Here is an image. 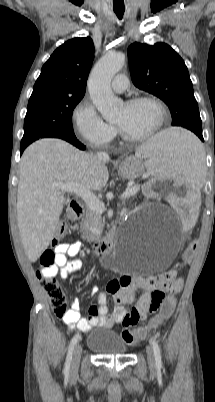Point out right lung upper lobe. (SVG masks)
<instances>
[{"instance_id":"obj_1","label":"right lung upper lobe","mask_w":215,"mask_h":402,"mask_svg":"<svg viewBox=\"0 0 215 402\" xmlns=\"http://www.w3.org/2000/svg\"><path fill=\"white\" fill-rule=\"evenodd\" d=\"M93 59L94 44L90 37L66 41L43 65L31 96L51 94L83 98Z\"/></svg>"}]
</instances>
